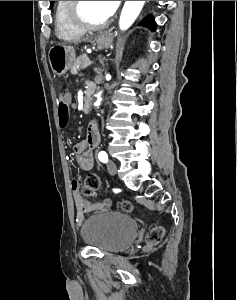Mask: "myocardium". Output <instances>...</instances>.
Here are the masks:
<instances>
[{"label":"myocardium","instance_id":"obj_1","mask_svg":"<svg viewBox=\"0 0 237 300\" xmlns=\"http://www.w3.org/2000/svg\"><path fill=\"white\" fill-rule=\"evenodd\" d=\"M83 7V1H71L70 7H69V18L71 23L77 27L78 29H81L83 31H92V30H100L108 25H110L114 19L113 16L108 18L106 21L99 23V24H93L88 22L82 12Z\"/></svg>","mask_w":237,"mask_h":300}]
</instances>
